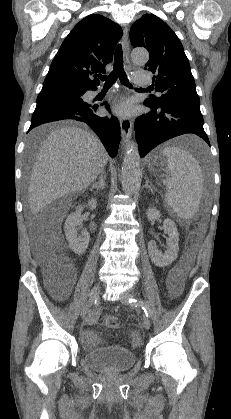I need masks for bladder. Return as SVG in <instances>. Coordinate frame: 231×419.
I'll use <instances>...</instances> for the list:
<instances>
[{"mask_svg":"<svg viewBox=\"0 0 231 419\" xmlns=\"http://www.w3.org/2000/svg\"><path fill=\"white\" fill-rule=\"evenodd\" d=\"M83 358L90 369L104 374L126 372L137 362L135 352L117 345L86 352Z\"/></svg>","mask_w":231,"mask_h":419,"instance_id":"31cf9c89","label":"bladder"}]
</instances>
